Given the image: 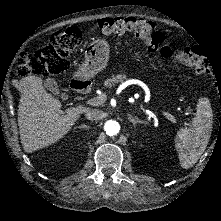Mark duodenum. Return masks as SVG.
<instances>
[{
	"label": "duodenum",
	"mask_w": 221,
	"mask_h": 221,
	"mask_svg": "<svg viewBox=\"0 0 221 221\" xmlns=\"http://www.w3.org/2000/svg\"><path fill=\"white\" fill-rule=\"evenodd\" d=\"M72 88L78 93L86 94L89 91L90 84L85 78L77 77L72 81Z\"/></svg>",
	"instance_id": "1"
}]
</instances>
